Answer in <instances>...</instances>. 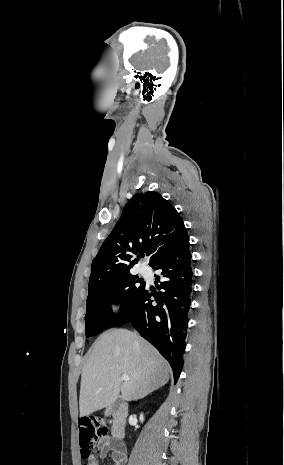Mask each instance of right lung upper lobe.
I'll return each instance as SVG.
<instances>
[{"instance_id": "obj_1", "label": "right lung upper lobe", "mask_w": 284, "mask_h": 465, "mask_svg": "<svg viewBox=\"0 0 284 465\" xmlns=\"http://www.w3.org/2000/svg\"><path fill=\"white\" fill-rule=\"evenodd\" d=\"M188 239L182 218L171 203L152 191L134 195L92 262L89 291L131 275L134 255H151L153 267Z\"/></svg>"}]
</instances>
